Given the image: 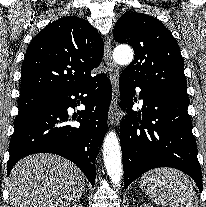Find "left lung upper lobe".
<instances>
[{"mask_svg": "<svg viewBox=\"0 0 206 207\" xmlns=\"http://www.w3.org/2000/svg\"><path fill=\"white\" fill-rule=\"evenodd\" d=\"M113 35L118 43L131 45L135 52L122 75L142 86L188 97L180 48L159 20L126 12L117 20Z\"/></svg>", "mask_w": 206, "mask_h": 207, "instance_id": "obj_1", "label": "left lung upper lobe"}]
</instances>
